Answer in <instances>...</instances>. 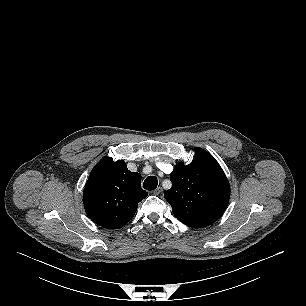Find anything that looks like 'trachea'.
<instances>
[{"label": "trachea", "mask_w": 306, "mask_h": 306, "mask_svg": "<svg viewBox=\"0 0 306 306\" xmlns=\"http://www.w3.org/2000/svg\"><path fill=\"white\" fill-rule=\"evenodd\" d=\"M158 180L155 176H149L143 183V188L146 190H154L157 188Z\"/></svg>", "instance_id": "trachea-1"}]
</instances>
